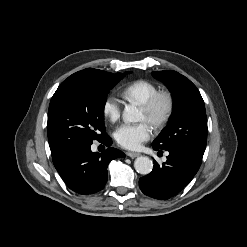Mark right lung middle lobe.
I'll return each mask as SVG.
<instances>
[{
    "mask_svg": "<svg viewBox=\"0 0 247 247\" xmlns=\"http://www.w3.org/2000/svg\"><path fill=\"white\" fill-rule=\"evenodd\" d=\"M124 74L74 73L54 93L48 110V141L52 155L71 146L92 144L105 134L106 96Z\"/></svg>",
    "mask_w": 247,
    "mask_h": 247,
    "instance_id": "dd1d6c3e",
    "label": "right lung middle lobe"
}]
</instances>
